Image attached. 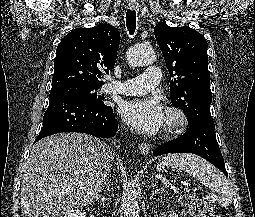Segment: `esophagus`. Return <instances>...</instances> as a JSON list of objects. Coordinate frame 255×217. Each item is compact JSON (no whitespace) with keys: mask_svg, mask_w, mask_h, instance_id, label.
<instances>
[{"mask_svg":"<svg viewBox=\"0 0 255 217\" xmlns=\"http://www.w3.org/2000/svg\"><path fill=\"white\" fill-rule=\"evenodd\" d=\"M128 7L131 10L137 11L139 9V4H138V2L131 0V1H129ZM139 150L142 155H146L150 151V145L146 142H143L139 145Z\"/></svg>","mask_w":255,"mask_h":217,"instance_id":"34e87169","label":"esophagus"}]
</instances>
